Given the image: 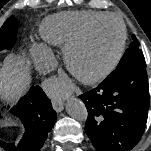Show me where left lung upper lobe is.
I'll return each mask as SVG.
<instances>
[{"instance_id":"1","label":"left lung upper lobe","mask_w":151,"mask_h":151,"mask_svg":"<svg viewBox=\"0 0 151 151\" xmlns=\"http://www.w3.org/2000/svg\"><path fill=\"white\" fill-rule=\"evenodd\" d=\"M132 39H133V42L131 43L130 47L125 51L117 68L111 74H114L117 71L124 69L127 66L132 65V64L138 63V64L146 65L143 52L139 46L140 45L139 41L137 40L135 35H132Z\"/></svg>"}]
</instances>
